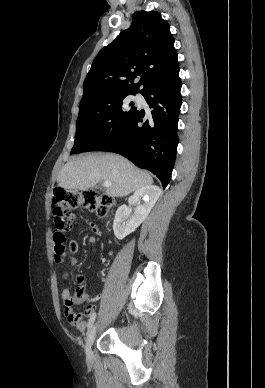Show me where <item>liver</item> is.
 Listing matches in <instances>:
<instances>
[{"label":"liver","mask_w":265,"mask_h":388,"mask_svg":"<svg viewBox=\"0 0 265 388\" xmlns=\"http://www.w3.org/2000/svg\"><path fill=\"white\" fill-rule=\"evenodd\" d=\"M59 188L66 190H88L99 182H111L106 188L107 196L123 198L131 192L151 186L153 178L147 172L135 168L129 160L116 154H89L73 158L62 168L57 178Z\"/></svg>","instance_id":"6515ba94"}]
</instances>
